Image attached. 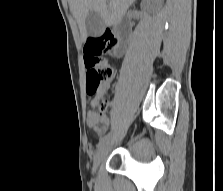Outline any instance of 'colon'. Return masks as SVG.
<instances>
[{
  "instance_id": "1",
  "label": "colon",
  "mask_w": 223,
  "mask_h": 191,
  "mask_svg": "<svg viewBox=\"0 0 223 191\" xmlns=\"http://www.w3.org/2000/svg\"><path fill=\"white\" fill-rule=\"evenodd\" d=\"M117 39L109 33L89 37L84 45V63L87 68L86 92L89 96L98 94L101 84L113 74L111 66L103 60V55L116 45ZM107 109L106 102L100 106V114Z\"/></svg>"
}]
</instances>
